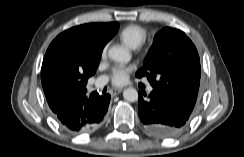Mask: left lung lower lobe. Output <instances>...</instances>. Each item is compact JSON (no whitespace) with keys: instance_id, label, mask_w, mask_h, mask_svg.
I'll use <instances>...</instances> for the list:
<instances>
[{"instance_id":"0a47b994","label":"left lung lower lobe","mask_w":244,"mask_h":157,"mask_svg":"<svg viewBox=\"0 0 244 157\" xmlns=\"http://www.w3.org/2000/svg\"><path fill=\"white\" fill-rule=\"evenodd\" d=\"M138 105L139 118L147 131L161 138L179 135L193 117L189 109L179 106L155 87L149 95L144 91L139 93Z\"/></svg>"}]
</instances>
